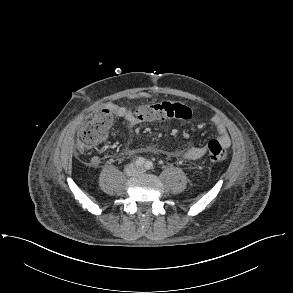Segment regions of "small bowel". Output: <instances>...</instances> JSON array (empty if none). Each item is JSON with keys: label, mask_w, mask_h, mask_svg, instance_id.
Instances as JSON below:
<instances>
[{"label": "small bowel", "mask_w": 293, "mask_h": 293, "mask_svg": "<svg viewBox=\"0 0 293 293\" xmlns=\"http://www.w3.org/2000/svg\"><path fill=\"white\" fill-rule=\"evenodd\" d=\"M143 98H145V96H143ZM107 109L110 110L114 116L122 118L125 121H127L128 124L131 126H136L142 122V120L138 119L131 110L124 106L112 103L107 106ZM211 122L217 132V137L215 140H217L223 147H229L231 140L224 123L218 118H213ZM207 152V145L195 146L187 149L183 153V156L189 160H197L205 156ZM91 163L93 165H97L99 163V158L93 157Z\"/></svg>", "instance_id": "1"}]
</instances>
